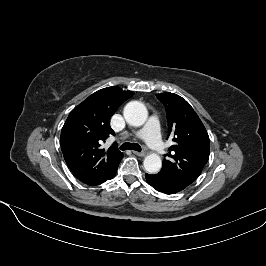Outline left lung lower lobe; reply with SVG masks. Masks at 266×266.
<instances>
[{"label": "left lung lower lobe", "instance_id": "0a47b994", "mask_svg": "<svg viewBox=\"0 0 266 266\" xmlns=\"http://www.w3.org/2000/svg\"><path fill=\"white\" fill-rule=\"evenodd\" d=\"M146 180L149 185L153 186L157 191L165 194H175L182 191L185 187L180 186L161 174H146Z\"/></svg>", "mask_w": 266, "mask_h": 266}]
</instances>
